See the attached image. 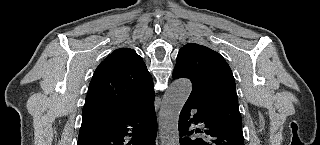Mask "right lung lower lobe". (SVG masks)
Segmentation results:
<instances>
[{
    "mask_svg": "<svg viewBox=\"0 0 320 145\" xmlns=\"http://www.w3.org/2000/svg\"><path fill=\"white\" fill-rule=\"evenodd\" d=\"M156 133L152 97L143 108L124 117L81 125L77 145H155Z\"/></svg>",
    "mask_w": 320,
    "mask_h": 145,
    "instance_id": "right-lung-lower-lobe-1",
    "label": "right lung lower lobe"
}]
</instances>
